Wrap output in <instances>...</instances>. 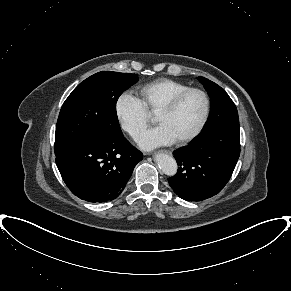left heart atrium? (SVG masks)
<instances>
[{
	"mask_svg": "<svg viewBox=\"0 0 291 291\" xmlns=\"http://www.w3.org/2000/svg\"><path fill=\"white\" fill-rule=\"evenodd\" d=\"M174 142L175 140L172 135L162 125L145 131L138 139L139 145L146 150L170 145Z\"/></svg>",
	"mask_w": 291,
	"mask_h": 291,
	"instance_id": "1",
	"label": "left heart atrium"
}]
</instances>
